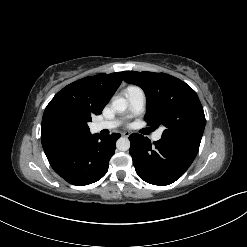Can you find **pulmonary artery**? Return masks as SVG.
I'll return each instance as SVG.
<instances>
[{"label": "pulmonary artery", "instance_id": "obj_1", "mask_svg": "<svg viewBox=\"0 0 247 247\" xmlns=\"http://www.w3.org/2000/svg\"><path fill=\"white\" fill-rule=\"evenodd\" d=\"M124 95L128 101V110L131 115L139 114L143 111L145 105V94L139 87H128ZM119 120H107L97 122L94 125L96 131H101L104 129H114L120 125ZM162 136V131L159 130L153 135L155 141L160 140Z\"/></svg>", "mask_w": 247, "mask_h": 247}]
</instances>
